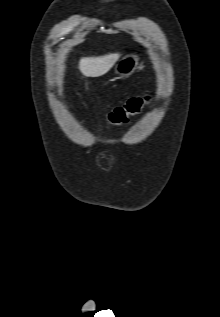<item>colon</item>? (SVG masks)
<instances>
[{
  "instance_id": "colon-1",
  "label": "colon",
  "mask_w": 220,
  "mask_h": 317,
  "mask_svg": "<svg viewBox=\"0 0 220 317\" xmlns=\"http://www.w3.org/2000/svg\"><path fill=\"white\" fill-rule=\"evenodd\" d=\"M149 97H132L123 105L115 107L107 116V122L112 126H121L129 122L148 104Z\"/></svg>"
}]
</instances>
